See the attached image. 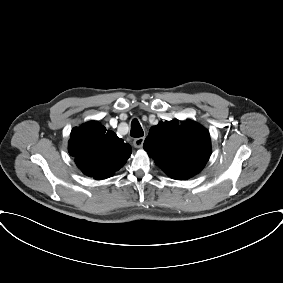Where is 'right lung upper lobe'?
<instances>
[{"label": "right lung upper lobe", "mask_w": 283, "mask_h": 283, "mask_svg": "<svg viewBox=\"0 0 283 283\" xmlns=\"http://www.w3.org/2000/svg\"><path fill=\"white\" fill-rule=\"evenodd\" d=\"M68 149L81 171L96 180L110 177L131 155V146L97 121L74 128Z\"/></svg>", "instance_id": "right-lung-upper-lobe-1"}]
</instances>
